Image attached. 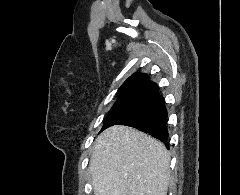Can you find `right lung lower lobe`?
Instances as JSON below:
<instances>
[{"label":"right lung lower lobe","mask_w":240,"mask_h":195,"mask_svg":"<svg viewBox=\"0 0 240 195\" xmlns=\"http://www.w3.org/2000/svg\"><path fill=\"white\" fill-rule=\"evenodd\" d=\"M167 110L158 89L151 91L143 104L114 125L137 128L159 139L168 146Z\"/></svg>","instance_id":"1"}]
</instances>
